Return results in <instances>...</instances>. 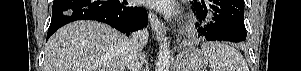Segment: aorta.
<instances>
[{
    "label": "aorta",
    "mask_w": 301,
    "mask_h": 71,
    "mask_svg": "<svg viewBox=\"0 0 301 71\" xmlns=\"http://www.w3.org/2000/svg\"><path fill=\"white\" fill-rule=\"evenodd\" d=\"M170 68V47L167 37L163 38V42L159 48L156 61L155 71H169Z\"/></svg>",
    "instance_id": "aorta-1"
}]
</instances>
